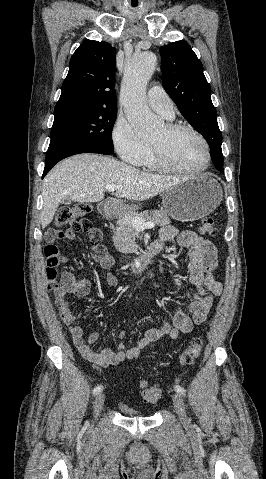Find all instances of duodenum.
Returning a JSON list of instances; mask_svg holds the SVG:
<instances>
[{
    "instance_id": "obj_1",
    "label": "duodenum",
    "mask_w": 266,
    "mask_h": 479,
    "mask_svg": "<svg viewBox=\"0 0 266 479\" xmlns=\"http://www.w3.org/2000/svg\"><path fill=\"white\" fill-rule=\"evenodd\" d=\"M116 203L114 201H107L100 205L99 211L106 218H113L115 215ZM161 245L156 241L150 247L145 249L137 258L132 262H128L126 270L134 276L142 275L153 258L160 252ZM91 254H98V250H92Z\"/></svg>"
}]
</instances>
